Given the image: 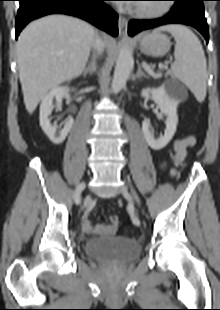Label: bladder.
<instances>
[{
    "mask_svg": "<svg viewBox=\"0 0 220 310\" xmlns=\"http://www.w3.org/2000/svg\"><path fill=\"white\" fill-rule=\"evenodd\" d=\"M85 253L103 263H129L141 254V244L122 236L93 238L84 242Z\"/></svg>",
    "mask_w": 220,
    "mask_h": 310,
    "instance_id": "obj_1",
    "label": "bladder"
}]
</instances>
